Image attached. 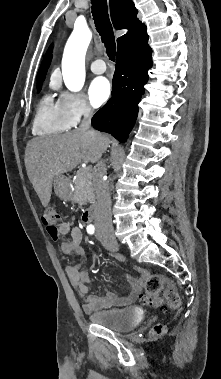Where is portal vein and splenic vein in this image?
<instances>
[{
    "label": "portal vein and splenic vein",
    "mask_w": 221,
    "mask_h": 379,
    "mask_svg": "<svg viewBox=\"0 0 221 379\" xmlns=\"http://www.w3.org/2000/svg\"><path fill=\"white\" fill-rule=\"evenodd\" d=\"M87 171V169H84V172H86Z\"/></svg>",
    "instance_id": "18ae733b"
}]
</instances>
